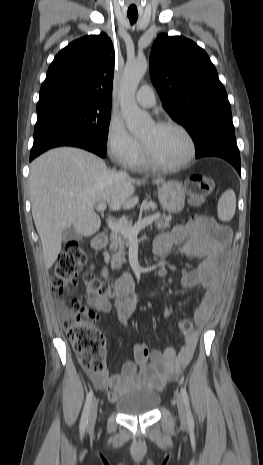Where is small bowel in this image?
<instances>
[{"instance_id": "small-bowel-1", "label": "small bowel", "mask_w": 263, "mask_h": 465, "mask_svg": "<svg viewBox=\"0 0 263 465\" xmlns=\"http://www.w3.org/2000/svg\"><path fill=\"white\" fill-rule=\"evenodd\" d=\"M229 239L227 230L218 226H201L193 221L175 225L156 238L153 252L157 257H165L176 248L181 255L201 259L199 265L182 278L184 288L204 289L194 315L196 330L185 335L184 344L179 351L172 347L164 351L149 350L144 343L137 342L136 363L124 362L114 374H110L107 369L98 373L90 372L95 386L106 390L111 401L137 387L160 392L169 380L177 377L187 367L196 349L199 331L209 321L222 289ZM117 286L124 292L122 297L112 302L104 297L91 296L88 303L100 312L106 313L113 309L119 322L125 325L137 311L131 296L134 280L130 274L125 273L118 280ZM171 312V308L167 306L162 310V315L168 317Z\"/></svg>"}]
</instances>
